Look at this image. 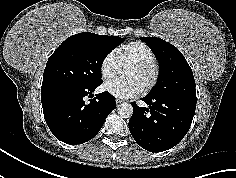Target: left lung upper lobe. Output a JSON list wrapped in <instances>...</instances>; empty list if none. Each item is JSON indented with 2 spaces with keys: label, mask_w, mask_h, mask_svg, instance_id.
<instances>
[{
  "label": "left lung upper lobe",
  "mask_w": 236,
  "mask_h": 178,
  "mask_svg": "<svg viewBox=\"0 0 236 178\" xmlns=\"http://www.w3.org/2000/svg\"><path fill=\"white\" fill-rule=\"evenodd\" d=\"M140 40L153 51L160 67L158 82L148 96L196 99L193 72L182 53L157 37H142Z\"/></svg>",
  "instance_id": "left-lung-upper-lobe-1"
}]
</instances>
